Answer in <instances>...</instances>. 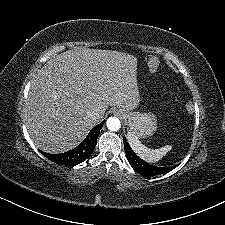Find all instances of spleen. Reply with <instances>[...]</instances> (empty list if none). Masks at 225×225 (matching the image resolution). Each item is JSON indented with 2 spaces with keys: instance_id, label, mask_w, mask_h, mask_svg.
I'll return each instance as SVG.
<instances>
[{
  "instance_id": "1",
  "label": "spleen",
  "mask_w": 225,
  "mask_h": 225,
  "mask_svg": "<svg viewBox=\"0 0 225 225\" xmlns=\"http://www.w3.org/2000/svg\"><path fill=\"white\" fill-rule=\"evenodd\" d=\"M127 140L133 149V151L144 161L148 163L157 162L163 156H165L171 149L172 146L166 145L158 149H150L143 145L141 141L133 135L132 133L128 132Z\"/></svg>"
}]
</instances>
